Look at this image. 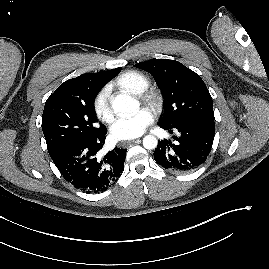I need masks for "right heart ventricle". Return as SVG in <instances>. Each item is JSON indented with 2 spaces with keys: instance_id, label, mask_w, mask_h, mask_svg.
I'll return each mask as SVG.
<instances>
[{
  "instance_id": "1",
  "label": "right heart ventricle",
  "mask_w": 269,
  "mask_h": 269,
  "mask_svg": "<svg viewBox=\"0 0 269 269\" xmlns=\"http://www.w3.org/2000/svg\"><path fill=\"white\" fill-rule=\"evenodd\" d=\"M114 85L125 93L139 95L149 86V79L139 71L128 70L115 79Z\"/></svg>"
}]
</instances>
